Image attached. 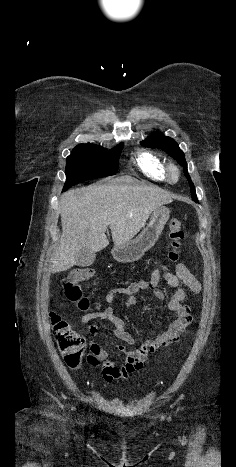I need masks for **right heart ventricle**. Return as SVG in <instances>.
<instances>
[{"instance_id": "1", "label": "right heart ventricle", "mask_w": 236, "mask_h": 467, "mask_svg": "<svg viewBox=\"0 0 236 467\" xmlns=\"http://www.w3.org/2000/svg\"><path fill=\"white\" fill-rule=\"evenodd\" d=\"M135 162L146 177L155 181L166 180V164L157 154L147 151L140 152L136 156Z\"/></svg>"}]
</instances>
